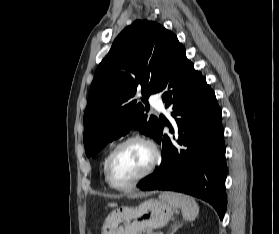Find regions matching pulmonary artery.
<instances>
[{"label":"pulmonary artery","instance_id":"obj_1","mask_svg":"<svg viewBox=\"0 0 279 234\" xmlns=\"http://www.w3.org/2000/svg\"><path fill=\"white\" fill-rule=\"evenodd\" d=\"M151 105L158 111H164V105L161 98L158 95L150 96Z\"/></svg>","mask_w":279,"mask_h":234}]
</instances>
